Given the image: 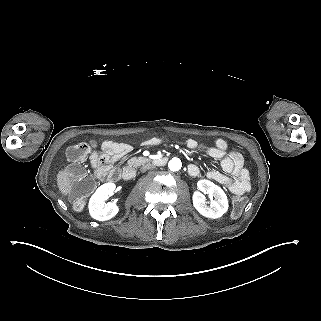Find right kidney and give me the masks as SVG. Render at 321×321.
Instances as JSON below:
<instances>
[{
  "mask_svg": "<svg viewBox=\"0 0 321 321\" xmlns=\"http://www.w3.org/2000/svg\"><path fill=\"white\" fill-rule=\"evenodd\" d=\"M115 188L116 185L114 183H105L97 188L88 204L89 213L92 218L98 221H106L118 213L119 208L115 202L105 203L114 194Z\"/></svg>",
  "mask_w": 321,
  "mask_h": 321,
  "instance_id": "ca27d5eb",
  "label": "right kidney"
}]
</instances>
